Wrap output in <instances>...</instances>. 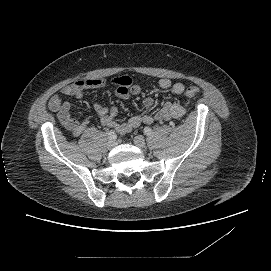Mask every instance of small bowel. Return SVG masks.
Returning <instances> with one entry per match:
<instances>
[{"mask_svg": "<svg viewBox=\"0 0 271 271\" xmlns=\"http://www.w3.org/2000/svg\"><path fill=\"white\" fill-rule=\"evenodd\" d=\"M112 82L116 86L115 92L118 97L126 99L133 93L131 91L132 80L129 77L115 78ZM106 84L107 81L102 78L77 80L64 86L59 94L53 95L49 100L48 107L51 111L57 113L61 125L74 137H78L87 128L89 121L87 119H75L71 114L70 104L63 99V96H74L81 99L87 90L102 88ZM158 86L163 90L171 89L176 95H182L185 92V86L182 83H172L168 78L160 79ZM143 105L146 109H150L153 107L154 101L151 97H146L143 100ZM187 108V103L168 101L156 113L132 116L127 123L119 125L116 122L118 110L115 107H105L99 103L93 106L95 113L100 117L101 123L114 128L121 134L128 133L141 124H152L157 121L180 118L185 115Z\"/></svg>", "mask_w": 271, "mask_h": 271, "instance_id": "small-bowel-1", "label": "small bowel"}]
</instances>
